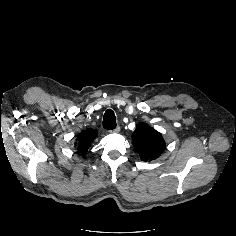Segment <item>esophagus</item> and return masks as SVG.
Listing matches in <instances>:
<instances>
[{"instance_id": "34e87169", "label": "esophagus", "mask_w": 236, "mask_h": 236, "mask_svg": "<svg viewBox=\"0 0 236 236\" xmlns=\"http://www.w3.org/2000/svg\"><path fill=\"white\" fill-rule=\"evenodd\" d=\"M120 126H117L115 129L111 130L110 132H113V133H118L120 132Z\"/></svg>"}]
</instances>
